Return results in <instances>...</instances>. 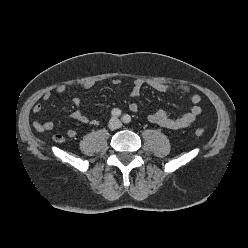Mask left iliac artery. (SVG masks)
<instances>
[{
	"instance_id": "44dca946",
	"label": "left iliac artery",
	"mask_w": 248,
	"mask_h": 248,
	"mask_svg": "<svg viewBox=\"0 0 248 248\" xmlns=\"http://www.w3.org/2000/svg\"><path fill=\"white\" fill-rule=\"evenodd\" d=\"M122 121H123L124 123H130V122H131V117H130L128 114H126V115H124V116L122 117Z\"/></svg>"
}]
</instances>
